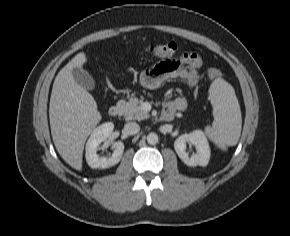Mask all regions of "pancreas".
I'll use <instances>...</instances> for the list:
<instances>
[{"label":"pancreas","mask_w":290,"mask_h":236,"mask_svg":"<svg viewBox=\"0 0 290 236\" xmlns=\"http://www.w3.org/2000/svg\"><path fill=\"white\" fill-rule=\"evenodd\" d=\"M117 105L121 107L122 114L126 120H144L149 117V114L139 105V100L134 95L128 102L120 100Z\"/></svg>","instance_id":"pancreas-1"}]
</instances>
